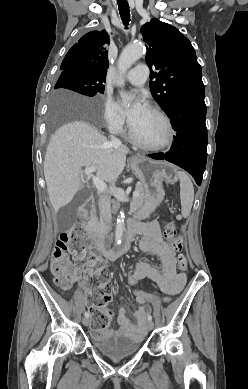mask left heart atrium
<instances>
[{
    "instance_id": "39dd6f15",
    "label": "left heart atrium",
    "mask_w": 248,
    "mask_h": 389,
    "mask_svg": "<svg viewBox=\"0 0 248 389\" xmlns=\"http://www.w3.org/2000/svg\"><path fill=\"white\" fill-rule=\"evenodd\" d=\"M121 103H126L131 101L130 107L126 110V116L130 125L136 122V120L140 117L143 111L146 109L143 101L132 93H122L120 95Z\"/></svg>"
}]
</instances>
